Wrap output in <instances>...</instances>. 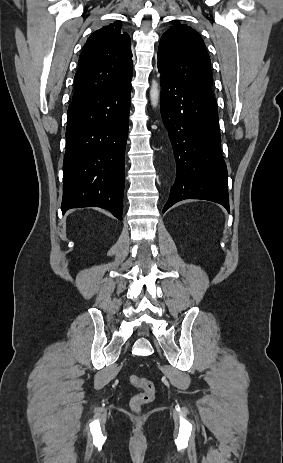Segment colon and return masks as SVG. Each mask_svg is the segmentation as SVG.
<instances>
[{"label":"colon","instance_id":"obj_1","mask_svg":"<svg viewBox=\"0 0 283 463\" xmlns=\"http://www.w3.org/2000/svg\"><path fill=\"white\" fill-rule=\"evenodd\" d=\"M130 381L140 389V392L135 395L130 402L132 410L138 412L144 405L154 401L156 397V387L151 380L136 375H132Z\"/></svg>","mask_w":283,"mask_h":463}]
</instances>
